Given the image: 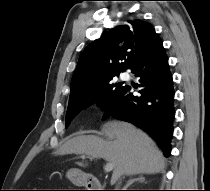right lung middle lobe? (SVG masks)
<instances>
[{"mask_svg":"<svg viewBox=\"0 0 210 191\" xmlns=\"http://www.w3.org/2000/svg\"><path fill=\"white\" fill-rule=\"evenodd\" d=\"M119 74L115 73L107 76L100 80L88 93L69 99L65 127L69 126L77 113L92 104L98 103L105 110L125 87L122 85L123 83L113 82L114 77Z\"/></svg>","mask_w":210,"mask_h":191,"instance_id":"right-lung-middle-lobe-1","label":"right lung middle lobe"}]
</instances>
